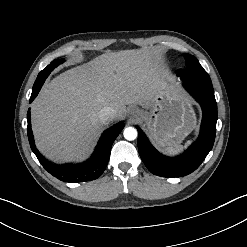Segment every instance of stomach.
<instances>
[{"mask_svg": "<svg viewBox=\"0 0 247 247\" xmlns=\"http://www.w3.org/2000/svg\"><path fill=\"white\" fill-rule=\"evenodd\" d=\"M150 107L140 120L159 146L180 144L196 126L191 101L175 86L160 90Z\"/></svg>", "mask_w": 247, "mask_h": 247, "instance_id": "stomach-1", "label": "stomach"}]
</instances>
